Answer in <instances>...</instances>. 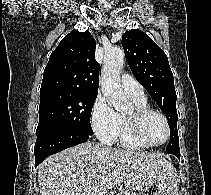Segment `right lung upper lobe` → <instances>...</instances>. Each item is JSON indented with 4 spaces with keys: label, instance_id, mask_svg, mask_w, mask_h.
<instances>
[{
    "label": "right lung upper lobe",
    "instance_id": "1",
    "mask_svg": "<svg viewBox=\"0 0 211 195\" xmlns=\"http://www.w3.org/2000/svg\"><path fill=\"white\" fill-rule=\"evenodd\" d=\"M95 47L88 31L72 30L66 35L45 67L40 93L69 90L97 94L100 65L95 60Z\"/></svg>",
    "mask_w": 211,
    "mask_h": 195
}]
</instances>
